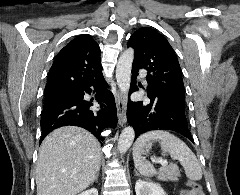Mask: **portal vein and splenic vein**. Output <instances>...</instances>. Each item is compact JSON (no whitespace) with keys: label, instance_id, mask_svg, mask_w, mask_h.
Listing matches in <instances>:
<instances>
[{"label":"portal vein and splenic vein","instance_id":"18ae733b","mask_svg":"<svg viewBox=\"0 0 240 195\" xmlns=\"http://www.w3.org/2000/svg\"><path fill=\"white\" fill-rule=\"evenodd\" d=\"M158 163H161V165H167L168 161L167 159H159Z\"/></svg>","mask_w":240,"mask_h":195}]
</instances>
